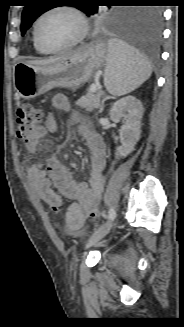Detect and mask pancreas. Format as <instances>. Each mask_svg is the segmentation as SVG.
<instances>
[{
  "label": "pancreas",
  "mask_w": 184,
  "mask_h": 327,
  "mask_svg": "<svg viewBox=\"0 0 184 327\" xmlns=\"http://www.w3.org/2000/svg\"><path fill=\"white\" fill-rule=\"evenodd\" d=\"M102 96V91L96 90L95 92H93L89 89L85 96H82L76 101V105L86 109V111L91 112L101 106L100 98Z\"/></svg>",
  "instance_id": "1"
}]
</instances>
